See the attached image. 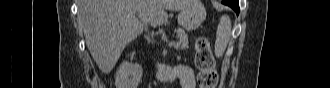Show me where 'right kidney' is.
Returning <instances> with one entry per match:
<instances>
[{
  "instance_id": "right-kidney-1",
  "label": "right kidney",
  "mask_w": 330,
  "mask_h": 88,
  "mask_svg": "<svg viewBox=\"0 0 330 88\" xmlns=\"http://www.w3.org/2000/svg\"><path fill=\"white\" fill-rule=\"evenodd\" d=\"M143 75L142 67L139 64H132L123 61L116 72V88H137Z\"/></svg>"
}]
</instances>
